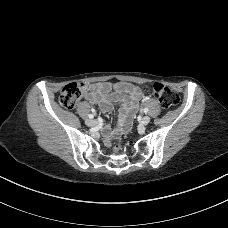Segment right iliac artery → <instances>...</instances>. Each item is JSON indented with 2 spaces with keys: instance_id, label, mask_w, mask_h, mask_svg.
Listing matches in <instances>:
<instances>
[{
  "instance_id": "1",
  "label": "right iliac artery",
  "mask_w": 228,
  "mask_h": 228,
  "mask_svg": "<svg viewBox=\"0 0 228 228\" xmlns=\"http://www.w3.org/2000/svg\"><path fill=\"white\" fill-rule=\"evenodd\" d=\"M93 112H95V110H93ZM88 117H89L90 119H92V118H94V115H93V114H89Z\"/></svg>"
}]
</instances>
